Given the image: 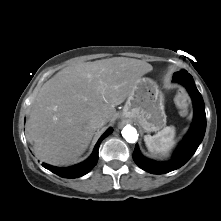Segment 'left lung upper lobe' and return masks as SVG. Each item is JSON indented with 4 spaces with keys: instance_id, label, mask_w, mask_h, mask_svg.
<instances>
[{
    "instance_id": "5c2ea615",
    "label": "left lung upper lobe",
    "mask_w": 221,
    "mask_h": 221,
    "mask_svg": "<svg viewBox=\"0 0 221 221\" xmlns=\"http://www.w3.org/2000/svg\"><path fill=\"white\" fill-rule=\"evenodd\" d=\"M178 73H187L186 71H180V72H177V73H174V76Z\"/></svg>"
}]
</instances>
